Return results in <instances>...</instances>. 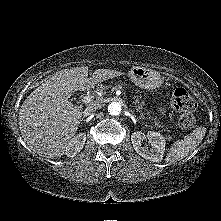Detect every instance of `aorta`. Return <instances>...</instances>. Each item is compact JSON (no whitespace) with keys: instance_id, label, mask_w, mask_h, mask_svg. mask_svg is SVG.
I'll return each mask as SVG.
<instances>
[{"instance_id":"1","label":"aorta","mask_w":221,"mask_h":221,"mask_svg":"<svg viewBox=\"0 0 221 221\" xmlns=\"http://www.w3.org/2000/svg\"><path fill=\"white\" fill-rule=\"evenodd\" d=\"M121 104L119 102H112L108 105V113L112 116H117L121 113Z\"/></svg>"}]
</instances>
